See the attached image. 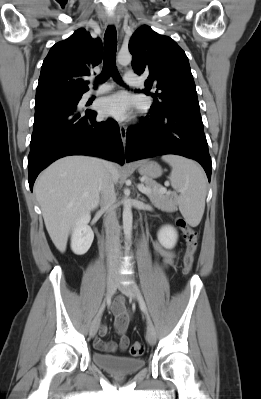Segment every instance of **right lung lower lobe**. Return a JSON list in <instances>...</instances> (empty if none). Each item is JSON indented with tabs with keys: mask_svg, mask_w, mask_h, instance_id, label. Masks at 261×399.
<instances>
[{
	"mask_svg": "<svg viewBox=\"0 0 261 399\" xmlns=\"http://www.w3.org/2000/svg\"><path fill=\"white\" fill-rule=\"evenodd\" d=\"M97 113L76 107L56 105L35 110L28 156L29 186L53 161L68 155H92L124 164V151L118 124L108 119L96 122Z\"/></svg>",
	"mask_w": 261,
	"mask_h": 399,
	"instance_id": "right-lung-lower-lobe-1",
	"label": "right lung lower lobe"
}]
</instances>
